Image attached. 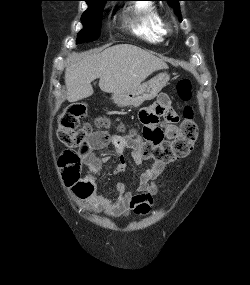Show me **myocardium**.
I'll list each match as a JSON object with an SVG mask.
<instances>
[{
  "instance_id": "1",
  "label": "myocardium",
  "mask_w": 250,
  "mask_h": 285,
  "mask_svg": "<svg viewBox=\"0 0 250 285\" xmlns=\"http://www.w3.org/2000/svg\"><path fill=\"white\" fill-rule=\"evenodd\" d=\"M163 27L165 32H170L173 29V23L171 21H163Z\"/></svg>"
}]
</instances>
